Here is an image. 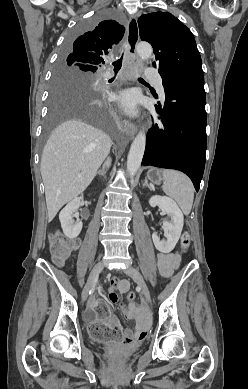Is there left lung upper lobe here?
Returning a JSON list of instances; mask_svg holds the SVG:
<instances>
[{
  "label": "left lung upper lobe",
  "mask_w": 248,
  "mask_h": 389,
  "mask_svg": "<svg viewBox=\"0 0 248 389\" xmlns=\"http://www.w3.org/2000/svg\"><path fill=\"white\" fill-rule=\"evenodd\" d=\"M139 35L155 54L163 85L188 74H203L202 62L191 31L168 12H153L138 20Z\"/></svg>",
  "instance_id": "obj_1"
}]
</instances>
